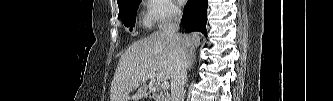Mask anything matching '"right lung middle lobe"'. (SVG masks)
<instances>
[{
	"label": "right lung middle lobe",
	"instance_id": "dd1d6c3e",
	"mask_svg": "<svg viewBox=\"0 0 333 101\" xmlns=\"http://www.w3.org/2000/svg\"><path fill=\"white\" fill-rule=\"evenodd\" d=\"M141 1L122 0L118 3L120 18L126 27H130V31L135 23V13Z\"/></svg>",
	"mask_w": 333,
	"mask_h": 101
}]
</instances>
